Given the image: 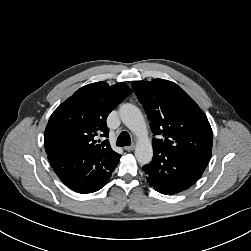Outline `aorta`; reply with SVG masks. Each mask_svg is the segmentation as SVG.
Returning <instances> with one entry per match:
<instances>
[{
  "mask_svg": "<svg viewBox=\"0 0 251 251\" xmlns=\"http://www.w3.org/2000/svg\"><path fill=\"white\" fill-rule=\"evenodd\" d=\"M119 116L122 122L138 138L135 147V157L142 164H148L153 157V149L148 138V130L141 111L133 104L125 103L119 108Z\"/></svg>",
  "mask_w": 251,
  "mask_h": 251,
  "instance_id": "aorta-1",
  "label": "aorta"
}]
</instances>
